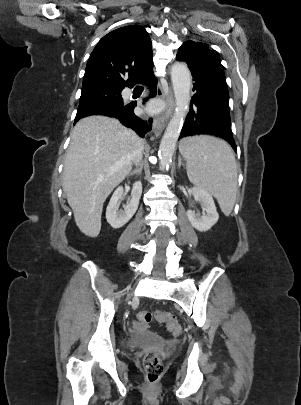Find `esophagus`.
Segmentation results:
<instances>
[{"mask_svg":"<svg viewBox=\"0 0 301 405\" xmlns=\"http://www.w3.org/2000/svg\"><path fill=\"white\" fill-rule=\"evenodd\" d=\"M157 96L163 101L164 108L162 113L156 116L153 121V131L156 135H160L164 130L168 119L174 111L175 101L171 89H169L168 92L165 93L163 89L159 88L157 90Z\"/></svg>","mask_w":301,"mask_h":405,"instance_id":"1","label":"esophagus"}]
</instances>
